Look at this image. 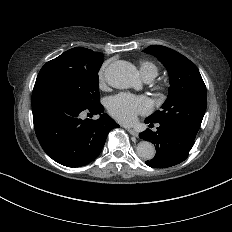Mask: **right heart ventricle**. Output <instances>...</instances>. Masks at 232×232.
<instances>
[{
	"mask_svg": "<svg viewBox=\"0 0 232 232\" xmlns=\"http://www.w3.org/2000/svg\"><path fill=\"white\" fill-rule=\"evenodd\" d=\"M140 74L145 81L151 82L157 76L158 69L153 63L144 61L141 63Z\"/></svg>",
	"mask_w": 232,
	"mask_h": 232,
	"instance_id": "right-heart-ventricle-1",
	"label": "right heart ventricle"
}]
</instances>
